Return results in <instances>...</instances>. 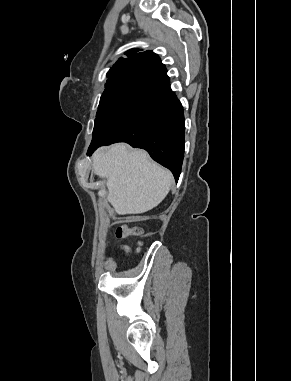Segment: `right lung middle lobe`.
Returning <instances> with one entry per match:
<instances>
[{
  "label": "right lung middle lobe",
  "instance_id": "right-lung-middle-lobe-1",
  "mask_svg": "<svg viewBox=\"0 0 291 381\" xmlns=\"http://www.w3.org/2000/svg\"><path fill=\"white\" fill-rule=\"evenodd\" d=\"M142 77L127 79L103 92L96 114L91 144L115 141L120 124L130 106Z\"/></svg>",
  "mask_w": 291,
  "mask_h": 381
}]
</instances>
